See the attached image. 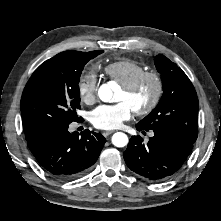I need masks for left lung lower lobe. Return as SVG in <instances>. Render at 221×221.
Masks as SVG:
<instances>
[{"label": "left lung lower lobe", "mask_w": 221, "mask_h": 221, "mask_svg": "<svg viewBox=\"0 0 221 221\" xmlns=\"http://www.w3.org/2000/svg\"><path fill=\"white\" fill-rule=\"evenodd\" d=\"M138 131H147L136 125ZM154 131V136L143 144L140 136L130 139L123 156L130 170L151 181H163L174 175L187 160L193 143L173 133ZM144 133V132H143Z\"/></svg>", "instance_id": "0a47b994"}]
</instances>
